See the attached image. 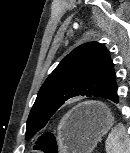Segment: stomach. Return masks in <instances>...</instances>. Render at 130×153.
<instances>
[{
    "mask_svg": "<svg viewBox=\"0 0 130 153\" xmlns=\"http://www.w3.org/2000/svg\"><path fill=\"white\" fill-rule=\"evenodd\" d=\"M114 123L110 110L98 102H85L69 111L58 127V141L65 153H92Z\"/></svg>",
    "mask_w": 130,
    "mask_h": 153,
    "instance_id": "0dacf381",
    "label": "stomach"
}]
</instances>
